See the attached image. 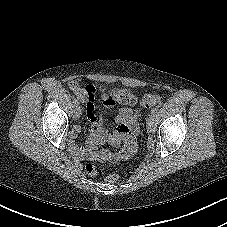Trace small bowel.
I'll return each instance as SVG.
<instances>
[{
  "label": "small bowel",
  "mask_w": 227,
  "mask_h": 227,
  "mask_svg": "<svg viewBox=\"0 0 227 227\" xmlns=\"http://www.w3.org/2000/svg\"><path fill=\"white\" fill-rule=\"evenodd\" d=\"M74 92L77 98L85 105V117L91 123L92 128L85 148L75 142L81 129L80 126L76 125L73 128L70 133L71 140L69 144L71 152L76 157L88 160L117 161L128 158L135 150V137L138 130L139 112L132 108L136 103V97L132 95L131 102L119 108L115 118L116 125L112 130H107L103 128L101 118L94 112L97 96L96 88L88 86L83 89L78 88ZM100 98L106 108H113L117 104L110 93L103 92ZM104 142L120 146V149L116 152L98 150V146Z\"/></svg>",
  "instance_id": "c3829d8e"
}]
</instances>
